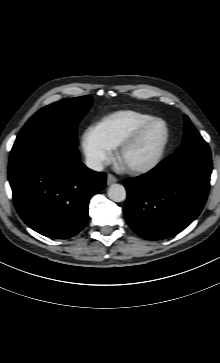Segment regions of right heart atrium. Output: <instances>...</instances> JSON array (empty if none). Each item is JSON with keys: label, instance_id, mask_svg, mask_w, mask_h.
I'll list each match as a JSON object with an SVG mask.
<instances>
[{"label": "right heart atrium", "instance_id": "d8ad5b80", "mask_svg": "<svg viewBox=\"0 0 220 363\" xmlns=\"http://www.w3.org/2000/svg\"><path fill=\"white\" fill-rule=\"evenodd\" d=\"M81 148L87 165L100 170L112 157V149L101 139L95 128L86 129L81 137Z\"/></svg>", "mask_w": 220, "mask_h": 363}]
</instances>
